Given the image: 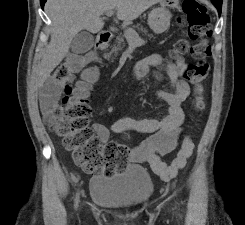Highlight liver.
Masks as SVG:
<instances>
[{"label": "liver", "instance_id": "6515ba94", "mask_svg": "<svg viewBox=\"0 0 245 225\" xmlns=\"http://www.w3.org/2000/svg\"><path fill=\"white\" fill-rule=\"evenodd\" d=\"M164 0H48L45 11L51 19V39L38 70L42 85L68 54L75 35L86 29L98 33L104 26L101 15L117 10V19L132 21Z\"/></svg>", "mask_w": 245, "mask_h": 225}]
</instances>
